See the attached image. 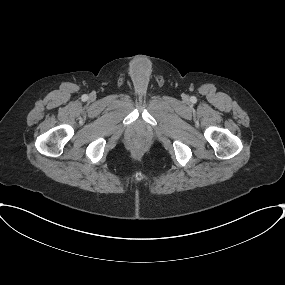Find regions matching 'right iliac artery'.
Returning <instances> with one entry per match:
<instances>
[{
    "instance_id": "82829eb1",
    "label": "right iliac artery",
    "mask_w": 285,
    "mask_h": 285,
    "mask_svg": "<svg viewBox=\"0 0 285 285\" xmlns=\"http://www.w3.org/2000/svg\"><path fill=\"white\" fill-rule=\"evenodd\" d=\"M87 99H88V96H87V95H83V96H82V100L85 101V100H87Z\"/></svg>"
}]
</instances>
